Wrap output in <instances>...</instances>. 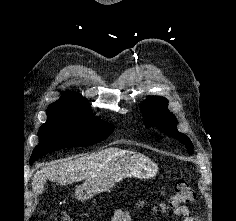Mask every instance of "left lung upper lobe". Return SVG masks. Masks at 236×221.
Instances as JSON below:
<instances>
[{"instance_id":"obj_1","label":"left lung upper lobe","mask_w":236,"mask_h":221,"mask_svg":"<svg viewBox=\"0 0 236 221\" xmlns=\"http://www.w3.org/2000/svg\"><path fill=\"white\" fill-rule=\"evenodd\" d=\"M167 105V99L161 97H153L144 101L142 111L145 126L147 128L157 127L164 134L177 138L182 144H185L188 153L192 154L194 146L191 140L186 135L178 132L176 117L167 110Z\"/></svg>"}]
</instances>
